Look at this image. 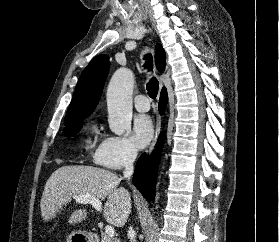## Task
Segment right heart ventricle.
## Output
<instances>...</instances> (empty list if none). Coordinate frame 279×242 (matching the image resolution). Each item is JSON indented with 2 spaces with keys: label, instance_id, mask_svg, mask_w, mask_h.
I'll list each match as a JSON object with an SVG mask.
<instances>
[{
  "label": "right heart ventricle",
  "instance_id": "right-heart-ventricle-1",
  "mask_svg": "<svg viewBox=\"0 0 279 242\" xmlns=\"http://www.w3.org/2000/svg\"><path fill=\"white\" fill-rule=\"evenodd\" d=\"M91 142H92V140H91V138L89 137V138L87 139V143H88V144H91Z\"/></svg>",
  "mask_w": 279,
  "mask_h": 242
}]
</instances>
